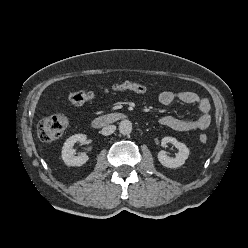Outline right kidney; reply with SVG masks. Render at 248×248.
Segmentation results:
<instances>
[{"instance_id": "ca27d5eb", "label": "right kidney", "mask_w": 248, "mask_h": 248, "mask_svg": "<svg viewBox=\"0 0 248 248\" xmlns=\"http://www.w3.org/2000/svg\"><path fill=\"white\" fill-rule=\"evenodd\" d=\"M87 136L85 134H75L69 137L62 148V159L68 166H82L88 161V155L85 153L75 156L73 146L76 142L85 143Z\"/></svg>"}]
</instances>
